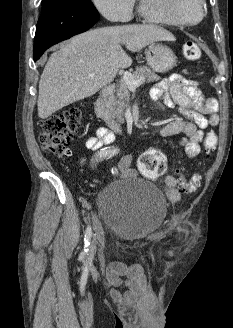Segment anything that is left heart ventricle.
Listing matches in <instances>:
<instances>
[{"label": "left heart ventricle", "instance_id": "obj_1", "mask_svg": "<svg viewBox=\"0 0 233 328\" xmlns=\"http://www.w3.org/2000/svg\"><path fill=\"white\" fill-rule=\"evenodd\" d=\"M167 12L183 21H195L200 16L199 0H162Z\"/></svg>", "mask_w": 233, "mask_h": 328}]
</instances>
